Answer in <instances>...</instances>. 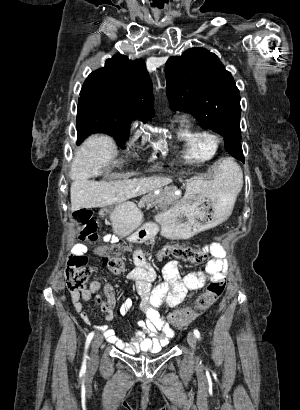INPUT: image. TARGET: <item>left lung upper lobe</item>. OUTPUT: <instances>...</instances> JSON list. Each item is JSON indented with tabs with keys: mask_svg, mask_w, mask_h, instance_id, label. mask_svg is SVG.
<instances>
[{
	"mask_svg": "<svg viewBox=\"0 0 300 410\" xmlns=\"http://www.w3.org/2000/svg\"><path fill=\"white\" fill-rule=\"evenodd\" d=\"M165 73L171 108L193 114L202 127L222 135L226 151L244 162L239 90L219 58L206 49L191 48L170 57Z\"/></svg>",
	"mask_w": 300,
	"mask_h": 410,
	"instance_id": "left-lung-upper-lobe-1",
	"label": "left lung upper lobe"
}]
</instances>
